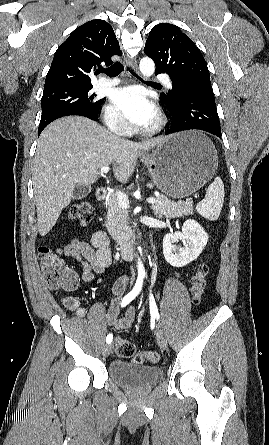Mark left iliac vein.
Instances as JSON below:
<instances>
[{"label": "left iliac vein", "mask_w": 269, "mask_h": 445, "mask_svg": "<svg viewBox=\"0 0 269 445\" xmlns=\"http://www.w3.org/2000/svg\"><path fill=\"white\" fill-rule=\"evenodd\" d=\"M156 339H157V343L161 349L167 348V339L165 336V332L160 325H158L157 329H156Z\"/></svg>", "instance_id": "4c4485c4"}]
</instances>
